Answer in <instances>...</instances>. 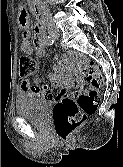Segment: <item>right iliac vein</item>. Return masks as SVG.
<instances>
[{
    "instance_id": "right-iliac-vein-1",
    "label": "right iliac vein",
    "mask_w": 123,
    "mask_h": 167,
    "mask_svg": "<svg viewBox=\"0 0 123 167\" xmlns=\"http://www.w3.org/2000/svg\"><path fill=\"white\" fill-rule=\"evenodd\" d=\"M50 35L54 38H57L59 36V32L56 29H51L50 30Z\"/></svg>"
}]
</instances>
